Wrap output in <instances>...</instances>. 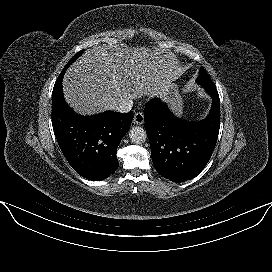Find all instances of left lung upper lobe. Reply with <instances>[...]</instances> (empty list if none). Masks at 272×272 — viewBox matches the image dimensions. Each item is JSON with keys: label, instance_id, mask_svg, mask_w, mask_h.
I'll use <instances>...</instances> for the list:
<instances>
[{"label": "left lung upper lobe", "instance_id": "left-lung-upper-lobe-1", "mask_svg": "<svg viewBox=\"0 0 272 272\" xmlns=\"http://www.w3.org/2000/svg\"><path fill=\"white\" fill-rule=\"evenodd\" d=\"M196 81L201 85L213 83L203 67H201L200 74Z\"/></svg>", "mask_w": 272, "mask_h": 272}]
</instances>
